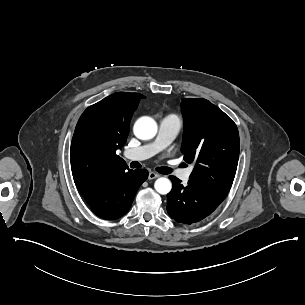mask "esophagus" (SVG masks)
<instances>
[{"label": "esophagus", "mask_w": 305, "mask_h": 305, "mask_svg": "<svg viewBox=\"0 0 305 305\" xmlns=\"http://www.w3.org/2000/svg\"><path fill=\"white\" fill-rule=\"evenodd\" d=\"M158 177H159V175H158L157 173L150 172V173H149V176H148V179H149V180H153V179H156V178H158Z\"/></svg>", "instance_id": "esophagus-1"}]
</instances>
